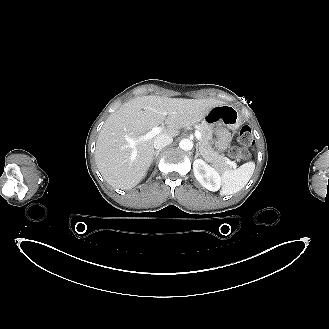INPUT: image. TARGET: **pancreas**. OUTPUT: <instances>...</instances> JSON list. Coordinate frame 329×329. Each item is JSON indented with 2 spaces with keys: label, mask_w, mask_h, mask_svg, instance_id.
I'll return each mask as SVG.
<instances>
[{
  "label": "pancreas",
  "mask_w": 329,
  "mask_h": 329,
  "mask_svg": "<svg viewBox=\"0 0 329 329\" xmlns=\"http://www.w3.org/2000/svg\"><path fill=\"white\" fill-rule=\"evenodd\" d=\"M196 128L202 135L198 143V150H200L203 158L219 170L231 167L229 159L212 148V134L214 131L212 126L201 123L197 125Z\"/></svg>",
  "instance_id": "cf45deb5"
}]
</instances>
